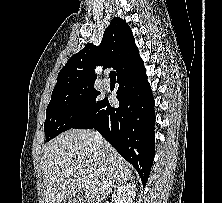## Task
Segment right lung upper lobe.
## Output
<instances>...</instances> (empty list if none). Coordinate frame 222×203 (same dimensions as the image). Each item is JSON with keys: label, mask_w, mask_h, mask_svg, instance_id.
Segmentation results:
<instances>
[{"label": "right lung upper lobe", "mask_w": 222, "mask_h": 203, "mask_svg": "<svg viewBox=\"0 0 222 203\" xmlns=\"http://www.w3.org/2000/svg\"><path fill=\"white\" fill-rule=\"evenodd\" d=\"M142 63L128 24L119 17L111 20L99 46L88 43L60 70L53 92L93 85L97 65L112 67L117 76Z\"/></svg>", "instance_id": "1"}]
</instances>
